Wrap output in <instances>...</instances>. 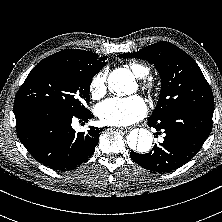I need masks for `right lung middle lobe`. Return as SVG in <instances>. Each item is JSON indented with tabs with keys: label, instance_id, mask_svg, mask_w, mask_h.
Returning a JSON list of instances; mask_svg holds the SVG:
<instances>
[{
	"label": "right lung middle lobe",
	"instance_id": "obj_1",
	"mask_svg": "<svg viewBox=\"0 0 222 222\" xmlns=\"http://www.w3.org/2000/svg\"><path fill=\"white\" fill-rule=\"evenodd\" d=\"M101 68L91 66L49 65L32 69L18 90L14 105L39 103L60 108L68 113L89 112L91 79Z\"/></svg>",
	"mask_w": 222,
	"mask_h": 222
}]
</instances>
